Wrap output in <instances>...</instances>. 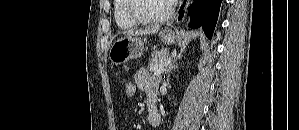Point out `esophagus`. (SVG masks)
Segmentation results:
<instances>
[{"label":"esophagus","instance_id":"obj_1","mask_svg":"<svg viewBox=\"0 0 299 130\" xmlns=\"http://www.w3.org/2000/svg\"><path fill=\"white\" fill-rule=\"evenodd\" d=\"M189 3H190L189 0H185L181 3L180 8L177 13V16H176V19H175L176 24L181 23L185 19L186 11H187V7H188Z\"/></svg>","mask_w":299,"mask_h":130}]
</instances>
